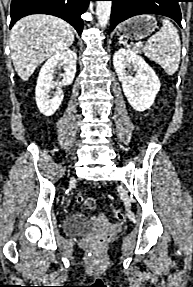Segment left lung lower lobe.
<instances>
[{
    "instance_id": "obj_1",
    "label": "left lung lower lobe",
    "mask_w": 193,
    "mask_h": 287,
    "mask_svg": "<svg viewBox=\"0 0 193 287\" xmlns=\"http://www.w3.org/2000/svg\"><path fill=\"white\" fill-rule=\"evenodd\" d=\"M110 29L120 22L140 14H159L175 20L181 26L180 0H111Z\"/></svg>"
}]
</instances>
